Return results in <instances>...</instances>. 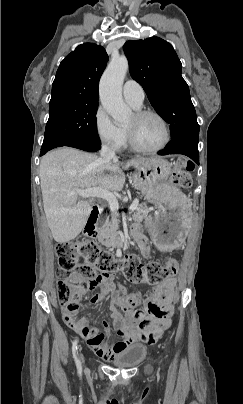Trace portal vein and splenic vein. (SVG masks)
<instances>
[{"label":"portal vein and splenic vein","mask_w":243,"mask_h":404,"mask_svg":"<svg viewBox=\"0 0 243 404\" xmlns=\"http://www.w3.org/2000/svg\"><path fill=\"white\" fill-rule=\"evenodd\" d=\"M77 194L81 196V198H103V200H107L110 210L112 212V215L115 217H120V214H117V210H119V204L118 200H116V196L112 194V192H109V190H104V188H98V186H95V188H86V190H77ZM139 204V200L135 198L134 202H132L127 215H130L134 212V210H137V206Z\"/></svg>","instance_id":"obj_1"}]
</instances>
